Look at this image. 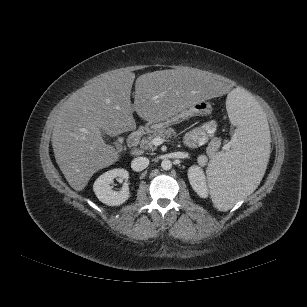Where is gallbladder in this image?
Listing matches in <instances>:
<instances>
[{
	"mask_svg": "<svg viewBox=\"0 0 307 307\" xmlns=\"http://www.w3.org/2000/svg\"><path fill=\"white\" fill-rule=\"evenodd\" d=\"M102 135L105 136V132L102 130Z\"/></svg>",
	"mask_w": 307,
	"mask_h": 307,
	"instance_id": "obj_1",
	"label": "gallbladder"
}]
</instances>
